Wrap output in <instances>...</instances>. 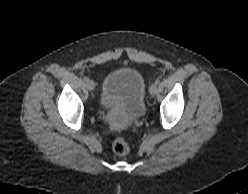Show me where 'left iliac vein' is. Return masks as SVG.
<instances>
[{
    "mask_svg": "<svg viewBox=\"0 0 248 194\" xmlns=\"http://www.w3.org/2000/svg\"><path fill=\"white\" fill-rule=\"evenodd\" d=\"M149 92H150V94H151L152 96H155V95L157 94V92H158L157 86H156L155 84H152V85L150 86Z\"/></svg>",
    "mask_w": 248,
    "mask_h": 194,
    "instance_id": "1",
    "label": "left iliac vein"
}]
</instances>
